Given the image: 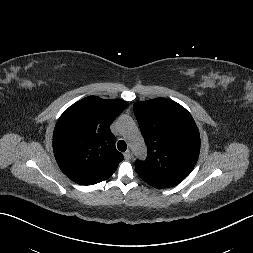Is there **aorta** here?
Segmentation results:
<instances>
[{"label": "aorta", "mask_w": 253, "mask_h": 253, "mask_svg": "<svg viewBox=\"0 0 253 253\" xmlns=\"http://www.w3.org/2000/svg\"><path fill=\"white\" fill-rule=\"evenodd\" d=\"M120 127L129 135L130 146L135 154L138 156L143 155L145 153V146L134 122L129 118H124L120 122Z\"/></svg>", "instance_id": "obj_1"}]
</instances>
